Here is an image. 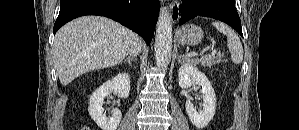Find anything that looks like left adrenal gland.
<instances>
[{
    "label": "left adrenal gland",
    "instance_id": "obj_1",
    "mask_svg": "<svg viewBox=\"0 0 299 130\" xmlns=\"http://www.w3.org/2000/svg\"><path fill=\"white\" fill-rule=\"evenodd\" d=\"M184 61H185L184 55L183 54L179 55L178 56V63L180 64V63H182Z\"/></svg>",
    "mask_w": 299,
    "mask_h": 130
}]
</instances>
